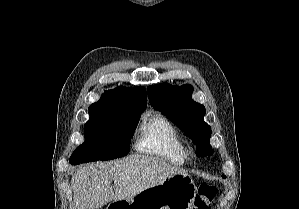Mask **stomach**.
I'll list each match as a JSON object with an SVG mask.
<instances>
[{"instance_id": "0dacf381", "label": "stomach", "mask_w": 299, "mask_h": 209, "mask_svg": "<svg viewBox=\"0 0 299 209\" xmlns=\"http://www.w3.org/2000/svg\"><path fill=\"white\" fill-rule=\"evenodd\" d=\"M196 190L188 175L174 174L133 198L112 202L108 209H193Z\"/></svg>"}]
</instances>
